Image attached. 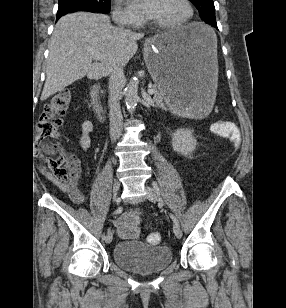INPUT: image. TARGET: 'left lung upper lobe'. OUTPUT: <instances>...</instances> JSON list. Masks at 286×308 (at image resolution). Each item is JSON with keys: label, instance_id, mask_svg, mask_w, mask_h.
<instances>
[{"label": "left lung upper lobe", "instance_id": "5c2ea615", "mask_svg": "<svg viewBox=\"0 0 286 308\" xmlns=\"http://www.w3.org/2000/svg\"><path fill=\"white\" fill-rule=\"evenodd\" d=\"M198 9L200 17L205 21L215 18V7L213 0H190Z\"/></svg>", "mask_w": 286, "mask_h": 308}]
</instances>
